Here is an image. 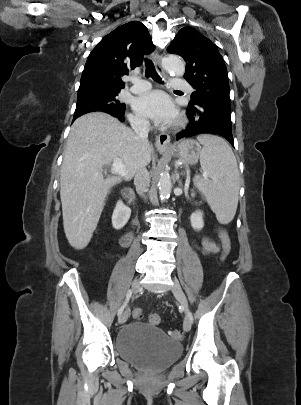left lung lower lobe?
Segmentation results:
<instances>
[{"label":"left lung lower lobe","mask_w":301,"mask_h":405,"mask_svg":"<svg viewBox=\"0 0 301 405\" xmlns=\"http://www.w3.org/2000/svg\"><path fill=\"white\" fill-rule=\"evenodd\" d=\"M189 126L177 134V140L201 134H212L224 137L234 147L231 127V111L215 106L198 105L187 110Z\"/></svg>","instance_id":"left-lung-lower-lobe-1"}]
</instances>
